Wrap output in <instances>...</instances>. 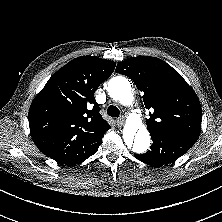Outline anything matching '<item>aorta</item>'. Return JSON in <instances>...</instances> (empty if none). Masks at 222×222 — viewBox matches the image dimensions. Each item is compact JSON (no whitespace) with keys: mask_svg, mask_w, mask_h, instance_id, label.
I'll list each match as a JSON object with an SVG mask.
<instances>
[{"mask_svg":"<svg viewBox=\"0 0 222 222\" xmlns=\"http://www.w3.org/2000/svg\"><path fill=\"white\" fill-rule=\"evenodd\" d=\"M108 93L113 100L120 102L124 106L133 104L131 84L125 77L117 76L112 78L108 83ZM123 138L125 144L135 153H145L150 147V134L136 116L127 121L123 130Z\"/></svg>","mask_w":222,"mask_h":222,"instance_id":"762f6f07","label":"aorta"}]
</instances>
